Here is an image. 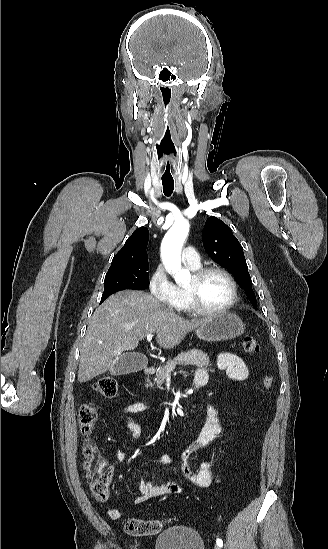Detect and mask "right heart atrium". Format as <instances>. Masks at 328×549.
Wrapping results in <instances>:
<instances>
[{"label": "right heart atrium", "instance_id": "right-heart-atrium-1", "mask_svg": "<svg viewBox=\"0 0 328 549\" xmlns=\"http://www.w3.org/2000/svg\"><path fill=\"white\" fill-rule=\"evenodd\" d=\"M173 290V283L161 262L155 264L148 277L150 303H166Z\"/></svg>", "mask_w": 328, "mask_h": 549}]
</instances>
